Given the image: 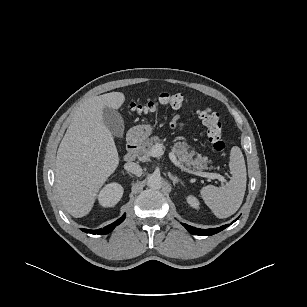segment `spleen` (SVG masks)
Returning <instances> with one entry per match:
<instances>
[{
  "mask_svg": "<svg viewBox=\"0 0 307 307\" xmlns=\"http://www.w3.org/2000/svg\"><path fill=\"white\" fill-rule=\"evenodd\" d=\"M229 158L230 181L221 187L208 185L200 191L205 204L218 218L233 215L240 208L246 190L247 172L240 148L232 147Z\"/></svg>",
  "mask_w": 307,
  "mask_h": 307,
  "instance_id": "obj_1",
  "label": "spleen"
}]
</instances>
